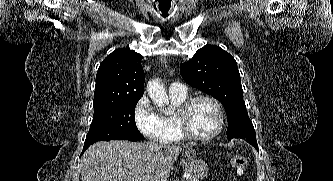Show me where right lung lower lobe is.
I'll list each match as a JSON object with an SVG mask.
<instances>
[{
    "label": "right lung lower lobe",
    "mask_w": 333,
    "mask_h": 181,
    "mask_svg": "<svg viewBox=\"0 0 333 181\" xmlns=\"http://www.w3.org/2000/svg\"><path fill=\"white\" fill-rule=\"evenodd\" d=\"M88 147H89V146H84V147H83V152H82V154L84 153V151H85ZM82 154H81V155H82Z\"/></svg>",
    "instance_id": "right-lung-lower-lobe-1"
}]
</instances>
